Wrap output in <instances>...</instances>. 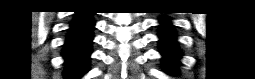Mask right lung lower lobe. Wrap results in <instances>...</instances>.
<instances>
[{
	"label": "right lung lower lobe",
	"mask_w": 255,
	"mask_h": 79,
	"mask_svg": "<svg viewBox=\"0 0 255 79\" xmlns=\"http://www.w3.org/2000/svg\"><path fill=\"white\" fill-rule=\"evenodd\" d=\"M90 14L87 11L78 12L71 23L63 51L67 65L65 75L68 78H78L88 71L94 28Z\"/></svg>",
	"instance_id": "right-lung-lower-lobe-1"
}]
</instances>
